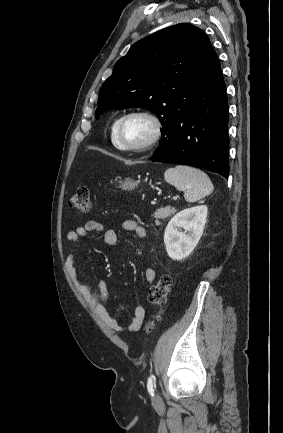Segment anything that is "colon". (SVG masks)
<instances>
[{
    "label": "colon",
    "instance_id": "5ec220e1",
    "mask_svg": "<svg viewBox=\"0 0 283 433\" xmlns=\"http://www.w3.org/2000/svg\"><path fill=\"white\" fill-rule=\"evenodd\" d=\"M91 193L87 187H79L69 199V206L80 214H87L91 209ZM172 287V279L168 275L161 276L148 291L149 302L157 308L154 318L146 325V331L150 332L155 321L160 317Z\"/></svg>",
    "mask_w": 283,
    "mask_h": 433
}]
</instances>
